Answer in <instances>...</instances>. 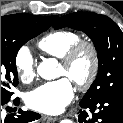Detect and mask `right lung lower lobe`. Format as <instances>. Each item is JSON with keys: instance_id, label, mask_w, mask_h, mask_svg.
Masks as SVG:
<instances>
[{"instance_id": "right-lung-lower-lobe-1", "label": "right lung lower lobe", "mask_w": 123, "mask_h": 123, "mask_svg": "<svg viewBox=\"0 0 123 123\" xmlns=\"http://www.w3.org/2000/svg\"><path fill=\"white\" fill-rule=\"evenodd\" d=\"M10 99H1V107L6 105ZM14 104L17 106L19 104V99L16 98L13 100ZM2 111V110H1ZM40 115L32 111H23L19 110L18 113H13L4 116H1V123H28L39 119Z\"/></svg>"}]
</instances>
